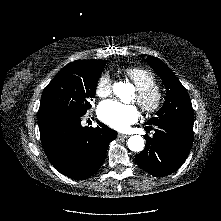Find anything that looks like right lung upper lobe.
<instances>
[{
    "mask_svg": "<svg viewBox=\"0 0 221 221\" xmlns=\"http://www.w3.org/2000/svg\"><path fill=\"white\" fill-rule=\"evenodd\" d=\"M78 62H82V63L90 65V66L98 67V66L102 65L104 60H95V59H92V60H89V61L78 60ZM40 123H42V122H40Z\"/></svg>",
    "mask_w": 221,
    "mask_h": 221,
    "instance_id": "cb5924a9",
    "label": "right lung upper lobe"
}]
</instances>
